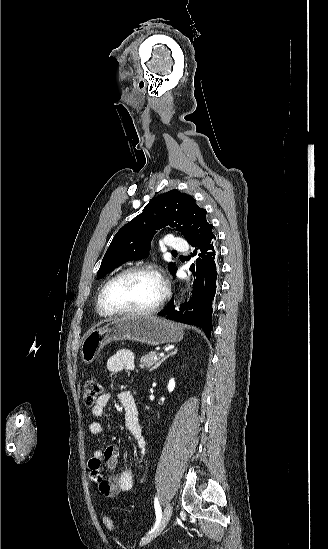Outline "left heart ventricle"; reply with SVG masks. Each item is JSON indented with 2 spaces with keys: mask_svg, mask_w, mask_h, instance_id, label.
<instances>
[{
  "mask_svg": "<svg viewBox=\"0 0 328 549\" xmlns=\"http://www.w3.org/2000/svg\"><path fill=\"white\" fill-rule=\"evenodd\" d=\"M162 282L147 271H132L116 280L108 289V305L117 311L151 306L161 295Z\"/></svg>",
  "mask_w": 328,
  "mask_h": 549,
  "instance_id": "obj_1",
  "label": "left heart ventricle"
}]
</instances>
